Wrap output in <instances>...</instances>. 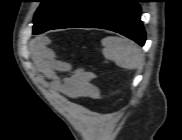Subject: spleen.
Masks as SVG:
<instances>
[{"label": "spleen", "instance_id": "3e777b00", "mask_svg": "<svg viewBox=\"0 0 182 140\" xmlns=\"http://www.w3.org/2000/svg\"><path fill=\"white\" fill-rule=\"evenodd\" d=\"M103 55L115 64L125 69H137L142 67L144 57L140 48L127 38L109 36L101 41Z\"/></svg>", "mask_w": 182, "mask_h": 140}]
</instances>
